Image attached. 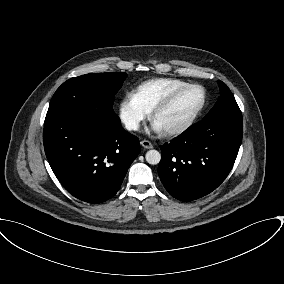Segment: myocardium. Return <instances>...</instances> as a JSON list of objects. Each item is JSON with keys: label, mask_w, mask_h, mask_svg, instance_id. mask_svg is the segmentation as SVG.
Instances as JSON below:
<instances>
[{"label": "myocardium", "mask_w": 284, "mask_h": 284, "mask_svg": "<svg viewBox=\"0 0 284 284\" xmlns=\"http://www.w3.org/2000/svg\"><path fill=\"white\" fill-rule=\"evenodd\" d=\"M191 88H199L202 91L203 97L201 104L198 106V108L191 114L189 118H187L185 121L182 123L175 125L173 127L161 130L164 135L167 136H173V135H179L188 130L197 120V118L200 116L202 113L203 109L206 106L207 102V91L206 89L197 83H188L176 90H174L172 93H170L165 99H163L158 105L155 106V108L151 111V121L154 122L155 118L168 109L174 102L175 100L186 90L191 89Z\"/></svg>", "instance_id": "myocardium-1"}]
</instances>
